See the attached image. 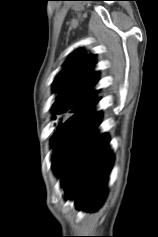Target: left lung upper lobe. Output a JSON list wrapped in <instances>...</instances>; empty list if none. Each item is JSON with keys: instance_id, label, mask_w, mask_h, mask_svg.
<instances>
[{"instance_id": "5c2ea615", "label": "left lung upper lobe", "mask_w": 158, "mask_h": 237, "mask_svg": "<svg viewBox=\"0 0 158 237\" xmlns=\"http://www.w3.org/2000/svg\"><path fill=\"white\" fill-rule=\"evenodd\" d=\"M93 60L94 55L78 51L66 61L54 80L57 95L52 105L53 118L56 114L76 113L95 99L99 90L94 88L98 73L93 70Z\"/></svg>"}]
</instances>
